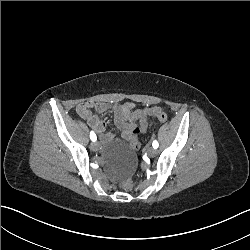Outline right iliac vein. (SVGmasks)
Returning <instances> with one entry per match:
<instances>
[{
  "label": "right iliac vein",
  "instance_id": "1",
  "mask_svg": "<svg viewBox=\"0 0 250 250\" xmlns=\"http://www.w3.org/2000/svg\"><path fill=\"white\" fill-rule=\"evenodd\" d=\"M90 148H91V150H93V151H98L99 145H98L97 142L93 141V142L91 143V145H90Z\"/></svg>",
  "mask_w": 250,
  "mask_h": 250
}]
</instances>
